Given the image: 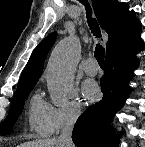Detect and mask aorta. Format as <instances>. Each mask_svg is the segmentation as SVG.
Here are the masks:
<instances>
[{
    "label": "aorta",
    "mask_w": 145,
    "mask_h": 147,
    "mask_svg": "<svg viewBox=\"0 0 145 147\" xmlns=\"http://www.w3.org/2000/svg\"><path fill=\"white\" fill-rule=\"evenodd\" d=\"M81 46L76 37L60 41L53 49L47 68V85L51 99L62 104L68 98Z\"/></svg>",
    "instance_id": "obj_1"
}]
</instances>
